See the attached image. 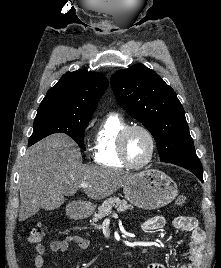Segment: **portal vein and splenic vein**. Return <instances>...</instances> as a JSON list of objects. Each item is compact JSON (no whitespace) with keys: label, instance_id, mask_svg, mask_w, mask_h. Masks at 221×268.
Returning a JSON list of instances; mask_svg holds the SVG:
<instances>
[{"label":"portal vein and splenic vein","instance_id":"portal-vein-and-splenic-vein-1","mask_svg":"<svg viewBox=\"0 0 221 268\" xmlns=\"http://www.w3.org/2000/svg\"><path fill=\"white\" fill-rule=\"evenodd\" d=\"M80 187L83 188V189H85V188L88 187V184L87 183H81L80 184ZM113 216H116V215H113Z\"/></svg>","mask_w":221,"mask_h":268}]
</instances>
